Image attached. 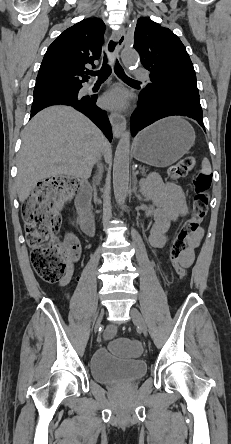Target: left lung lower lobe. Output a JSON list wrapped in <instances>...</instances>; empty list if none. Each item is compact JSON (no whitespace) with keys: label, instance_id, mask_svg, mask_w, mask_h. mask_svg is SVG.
Wrapping results in <instances>:
<instances>
[{"label":"left lung lower lobe","instance_id":"left-lung-lower-lobe-1","mask_svg":"<svg viewBox=\"0 0 231 444\" xmlns=\"http://www.w3.org/2000/svg\"><path fill=\"white\" fill-rule=\"evenodd\" d=\"M139 100V110L131 117L133 136L153 122L175 115L191 117L205 130L199 100L156 95L149 96L142 91L139 95Z\"/></svg>","mask_w":231,"mask_h":444}]
</instances>
